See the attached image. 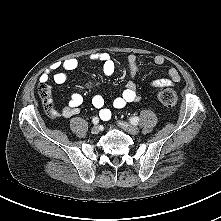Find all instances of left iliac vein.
I'll list each match as a JSON object with an SVG mask.
<instances>
[{
    "instance_id": "obj_1",
    "label": "left iliac vein",
    "mask_w": 221,
    "mask_h": 221,
    "mask_svg": "<svg viewBox=\"0 0 221 221\" xmlns=\"http://www.w3.org/2000/svg\"><path fill=\"white\" fill-rule=\"evenodd\" d=\"M118 126L120 128H122L123 130H125L126 132L132 134V135H136V134L139 133V128L138 127H136L134 125H131V124H128L126 122L119 121Z\"/></svg>"
}]
</instances>
